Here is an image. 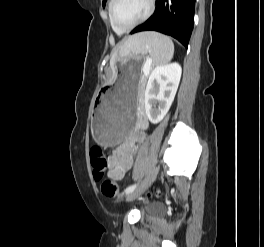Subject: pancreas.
Returning a JSON list of instances; mask_svg holds the SVG:
<instances>
[{"mask_svg":"<svg viewBox=\"0 0 264 247\" xmlns=\"http://www.w3.org/2000/svg\"><path fill=\"white\" fill-rule=\"evenodd\" d=\"M144 82L146 81V77H143Z\"/></svg>","mask_w":264,"mask_h":247,"instance_id":"cf45deb5","label":"pancreas"}]
</instances>
